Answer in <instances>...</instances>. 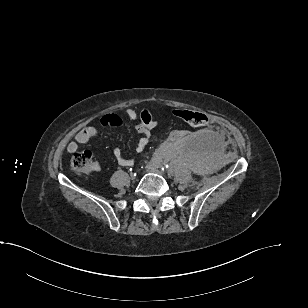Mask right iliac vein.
Masks as SVG:
<instances>
[{
    "label": "right iliac vein",
    "mask_w": 308,
    "mask_h": 308,
    "mask_svg": "<svg viewBox=\"0 0 308 308\" xmlns=\"http://www.w3.org/2000/svg\"><path fill=\"white\" fill-rule=\"evenodd\" d=\"M130 178L131 179H134L135 178V175L133 173H130Z\"/></svg>",
    "instance_id": "right-iliac-vein-1"
}]
</instances>
